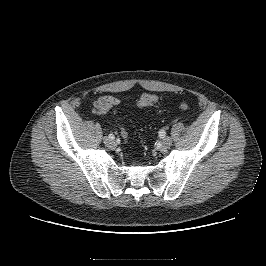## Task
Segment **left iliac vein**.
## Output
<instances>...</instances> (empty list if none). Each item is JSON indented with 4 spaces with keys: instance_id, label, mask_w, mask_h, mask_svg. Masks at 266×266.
Returning a JSON list of instances; mask_svg holds the SVG:
<instances>
[{
    "instance_id": "obj_1",
    "label": "left iliac vein",
    "mask_w": 266,
    "mask_h": 266,
    "mask_svg": "<svg viewBox=\"0 0 266 266\" xmlns=\"http://www.w3.org/2000/svg\"><path fill=\"white\" fill-rule=\"evenodd\" d=\"M172 144V140L169 137H165V139L162 140V147L168 148Z\"/></svg>"
}]
</instances>
